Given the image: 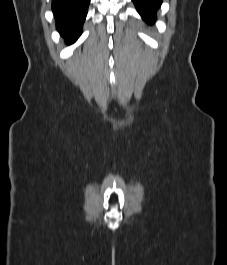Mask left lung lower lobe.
I'll return each instance as SVG.
<instances>
[{"mask_svg":"<svg viewBox=\"0 0 227 265\" xmlns=\"http://www.w3.org/2000/svg\"><path fill=\"white\" fill-rule=\"evenodd\" d=\"M138 13L148 23H153L156 19V11L160 7L162 0H133Z\"/></svg>","mask_w":227,"mask_h":265,"instance_id":"obj_1","label":"left lung lower lobe"}]
</instances>
